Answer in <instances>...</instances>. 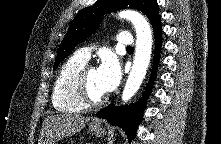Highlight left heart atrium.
Listing matches in <instances>:
<instances>
[{"label":"left heart atrium","instance_id":"obj_1","mask_svg":"<svg viewBox=\"0 0 221 144\" xmlns=\"http://www.w3.org/2000/svg\"><path fill=\"white\" fill-rule=\"evenodd\" d=\"M97 71L99 86L104 92L113 91L120 83L121 67L115 56H104Z\"/></svg>","mask_w":221,"mask_h":144}]
</instances>
